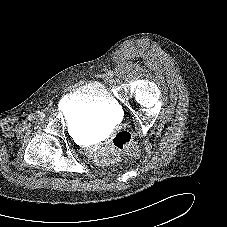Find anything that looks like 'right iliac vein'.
<instances>
[{
	"mask_svg": "<svg viewBox=\"0 0 227 227\" xmlns=\"http://www.w3.org/2000/svg\"><path fill=\"white\" fill-rule=\"evenodd\" d=\"M36 119L38 120H42L44 118V114L42 112H38L36 115H35Z\"/></svg>",
	"mask_w": 227,
	"mask_h": 227,
	"instance_id": "obj_1",
	"label": "right iliac vein"
}]
</instances>
